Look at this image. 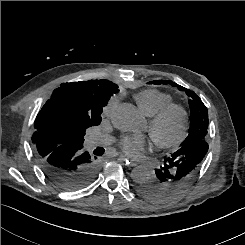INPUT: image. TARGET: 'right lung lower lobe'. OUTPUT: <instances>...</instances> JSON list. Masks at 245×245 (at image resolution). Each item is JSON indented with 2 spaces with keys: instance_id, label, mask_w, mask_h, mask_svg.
Listing matches in <instances>:
<instances>
[{
  "instance_id": "obj_1",
  "label": "right lung lower lobe",
  "mask_w": 245,
  "mask_h": 245,
  "mask_svg": "<svg viewBox=\"0 0 245 245\" xmlns=\"http://www.w3.org/2000/svg\"><path fill=\"white\" fill-rule=\"evenodd\" d=\"M37 161L45 176L64 191L88 186L99 171L97 157L83 150V143L70 142L52 148L46 143L37 148Z\"/></svg>"
}]
</instances>
